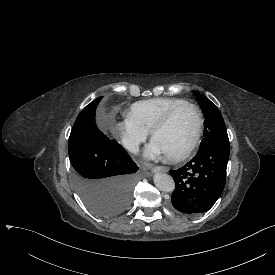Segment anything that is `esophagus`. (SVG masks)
Instances as JSON below:
<instances>
[{"instance_id":"34e87169","label":"esophagus","mask_w":275,"mask_h":275,"mask_svg":"<svg viewBox=\"0 0 275 275\" xmlns=\"http://www.w3.org/2000/svg\"><path fill=\"white\" fill-rule=\"evenodd\" d=\"M151 171H152L153 173L166 172V171H167V168L164 167V166H156V167L152 168Z\"/></svg>"}]
</instances>
